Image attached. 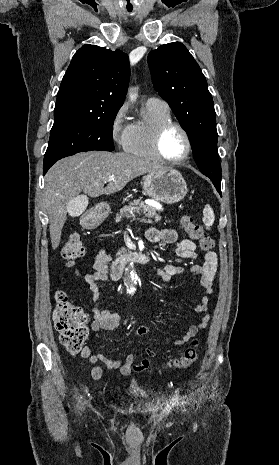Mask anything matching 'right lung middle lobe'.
<instances>
[{"label": "right lung middle lobe", "mask_w": 279, "mask_h": 465, "mask_svg": "<svg viewBox=\"0 0 279 465\" xmlns=\"http://www.w3.org/2000/svg\"><path fill=\"white\" fill-rule=\"evenodd\" d=\"M118 110L100 117L68 121L53 125L44 167L52 166L61 158L83 151H113L112 128Z\"/></svg>", "instance_id": "dd1d6c3e"}]
</instances>
